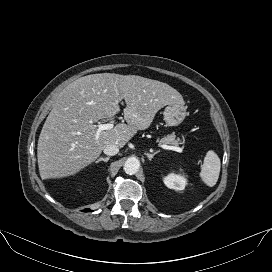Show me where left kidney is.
Instances as JSON below:
<instances>
[{"label": "left kidney", "instance_id": "obj_1", "mask_svg": "<svg viewBox=\"0 0 272 272\" xmlns=\"http://www.w3.org/2000/svg\"><path fill=\"white\" fill-rule=\"evenodd\" d=\"M164 184L174 190H184L187 184V180L184 176L179 174L170 173L166 177H164Z\"/></svg>", "mask_w": 272, "mask_h": 272}]
</instances>
